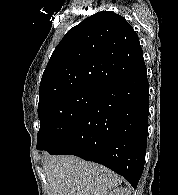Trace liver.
<instances>
[{
  "label": "liver",
  "instance_id": "6515ba94",
  "mask_svg": "<svg viewBox=\"0 0 178 195\" xmlns=\"http://www.w3.org/2000/svg\"><path fill=\"white\" fill-rule=\"evenodd\" d=\"M43 168L48 195H106L122 183L108 168L75 156H46Z\"/></svg>",
  "mask_w": 178,
  "mask_h": 195
}]
</instances>
